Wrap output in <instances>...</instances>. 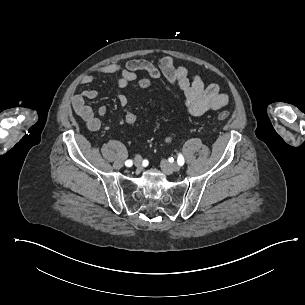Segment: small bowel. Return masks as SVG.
<instances>
[{
	"instance_id": "1",
	"label": "small bowel",
	"mask_w": 305,
	"mask_h": 305,
	"mask_svg": "<svg viewBox=\"0 0 305 305\" xmlns=\"http://www.w3.org/2000/svg\"><path fill=\"white\" fill-rule=\"evenodd\" d=\"M139 71L148 73L151 79L164 77L170 84H176L184 92L185 105L191 116L198 117L210 111H216L226 106L229 102L227 94L222 93L217 84L205 85L199 75L189 79V72L185 66H176L172 56H164L158 66L144 59L129 60L124 67L118 64H105L96 67L90 75L82 79L83 83H91L97 75L113 74L117 76L116 83L119 88H126L137 79ZM98 92L94 89H87L72 97L74 112L80 116L90 131H98L102 127L99 117L107 113V107L101 106L94 111L87 105V100L94 99ZM119 104L125 107L128 98L125 94L117 95ZM128 112V111H127Z\"/></svg>"
}]
</instances>
